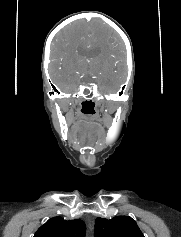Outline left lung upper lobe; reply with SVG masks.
Instances as JSON below:
<instances>
[{
  "instance_id": "5c2ea615",
  "label": "left lung upper lobe",
  "mask_w": 181,
  "mask_h": 237,
  "mask_svg": "<svg viewBox=\"0 0 181 237\" xmlns=\"http://www.w3.org/2000/svg\"><path fill=\"white\" fill-rule=\"evenodd\" d=\"M95 237H144L137 223L129 216H117L110 220L96 218Z\"/></svg>"
}]
</instances>
